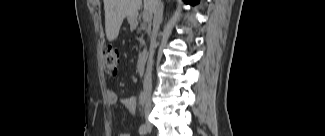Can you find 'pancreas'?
Listing matches in <instances>:
<instances>
[{
	"label": "pancreas",
	"instance_id": "1",
	"mask_svg": "<svg viewBox=\"0 0 325 136\" xmlns=\"http://www.w3.org/2000/svg\"><path fill=\"white\" fill-rule=\"evenodd\" d=\"M142 28H143V29H146L145 24H143ZM138 31H139V32H140V31L142 32L143 30H142V29H141V30L139 29ZM140 36L142 37L143 35L141 34Z\"/></svg>",
	"mask_w": 325,
	"mask_h": 136
}]
</instances>
